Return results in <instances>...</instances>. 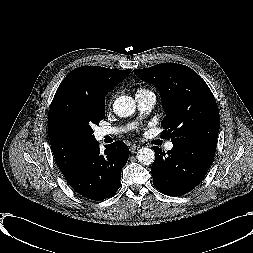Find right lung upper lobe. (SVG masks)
<instances>
[{
    "instance_id": "cb5924a9",
    "label": "right lung upper lobe",
    "mask_w": 253,
    "mask_h": 253,
    "mask_svg": "<svg viewBox=\"0 0 253 253\" xmlns=\"http://www.w3.org/2000/svg\"><path fill=\"white\" fill-rule=\"evenodd\" d=\"M131 72L96 66H82L72 70L58 87L51 103L48 135L55 160L68 176L84 153L95 143L86 136L81 124L84 118L81 101L104 102L106 94Z\"/></svg>"
}]
</instances>
